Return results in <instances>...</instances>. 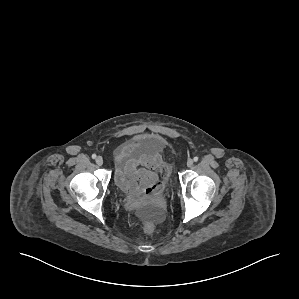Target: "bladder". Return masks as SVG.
<instances>
[{
	"label": "bladder",
	"mask_w": 299,
	"mask_h": 299,
	"mask_svg": "<svg viewBox=\"0 0 299 299\" xmlns=\"http://www.w3.org/2000/svg\"><path fill=\"white\" fill-rule=\"evenodd\" d=\"M138 150L141 153H152L158 151L162 147V141L159 138H141L135 141Z\"/></svg>",
	"instance_id": "obj_1"
}]
</instances>
